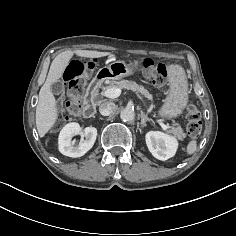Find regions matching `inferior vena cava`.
<instances>
[{"mask_svg": "<svg viewBox=\"0 0 236 236\" xmlns=\"http://www.w3.org/2000/svg\"><path fill=\"white\" fill-rule=\"evenodd\" d=\"M113 109H114V105L109 102H104L99 106V112L103 116H109L110 114H112Z\"/></svg>", "mask_w": 236, "mask_h": 236, "instance_id": "602c4592", "label": "inferior vena cava"}]
</instances>
